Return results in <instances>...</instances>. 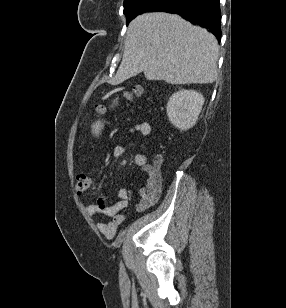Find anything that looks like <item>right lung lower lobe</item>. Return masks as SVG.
<instances>
[{"mask_svg":"<svg viewBox=\"0 0 286 308\" xmlns=\"http://www.w3.org/2000/svg\"><path fill=\"white\" fill-rule=\"evenodd\" d=\"M153 11L178 14L196 25L209 29L220 42L219 0H168Z\"/></svg>","mask_w":286,"mask_h":308,"instance_id":"1","label":"right lung lower lobe"}]
</instances>
